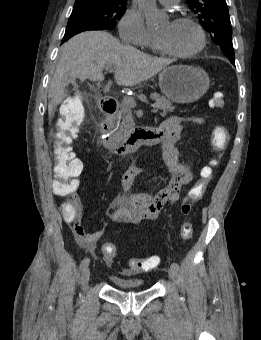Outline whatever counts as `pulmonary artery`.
<instances>
[{"mask_svg":"<svg viewBox=\"0 0 261 340\" xmlns=\"http://www.w3.org/2000/svg\"><path fill=\"white\" fill-rule=\"evenodd\" d=\"M159 2L163 5L171 6L177 4L179 0H159Z\"/></svg>","mask_w":261,"mask_h":340,"instance_id":"1","label":"pulmonary artery"}]
</instances>
